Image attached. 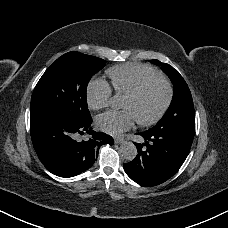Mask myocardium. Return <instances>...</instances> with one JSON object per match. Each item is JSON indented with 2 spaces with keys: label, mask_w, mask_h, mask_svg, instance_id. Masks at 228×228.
<instances>
[{
  "label": "myocardium",
  "mask_w": 228,
  "mask_h": 228,
  "mask_svg": "<svg viewBox=\"0 0 228 228\" xmlns=\"http://www.w3.org/2000/svg\"><path fill=\"white\" fill-rule=\"evenodd\" d=\"M155 83H161L164 86L165 96L163 98L162 104L160 105L158 111L151 118H149L147 120L138 121L139 124L144 125V126H149V125H152V124L156 123L157 121H159L161 119V117L163 116V114L165 113L166 109L168 108L170 100H171V96H172V90H171V86H170L169 82L162 78H155V79L145 82L136 91H134L133 93L128 95V98L137 99L142 95V93L147 88H149L150 86H152Z\"/></svg>",
  "instance_id": "obj_1"
}]
</instances>
